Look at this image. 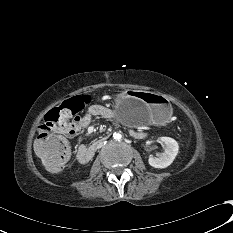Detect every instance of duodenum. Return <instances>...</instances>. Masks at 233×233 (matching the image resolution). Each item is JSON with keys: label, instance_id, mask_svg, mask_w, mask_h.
Here are the masks:
<instances>
[{"label": "duodenum", "instance_id": "1", "mask_svg": "<svg viewBox=\"0 0 233 233\" xmlns=\"http://www.w3.org/2000/svg\"><path fill=\"white\" fill-rule=\"evenodd\" d=\"M104 140H105V138L103 137V138L99 139L98 141H96L91 146H81L77 152L78 160L81 163H88L92 159V157L96 153L97 149L99 148L100 144Z\"/></svg>", "mask_w": 233, "mask_h": 233}]
</instances>
